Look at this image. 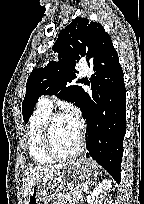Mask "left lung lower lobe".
I'll use <instances>...</instances> for the list:
<instances>
[{
  "instance_id": "left-lung-lower-lobe-1",
  "label": "left lung lower lobe",
  "mask_w": 144,
  "mask_h": 204,
  "mask_svg": "<svg viewBox=\"0 0 144 204\" xmlns=\"http://www.w3.org/2000/svg\"><path fill=\"white\" fill-rule=\"evenodd\" d=\"M92 95L82 97V115L87 123V158L100 164L119 184L123 139L126 132V89L119 59L105 71L92 67Z\"/></svg>"
}]
</instances>
